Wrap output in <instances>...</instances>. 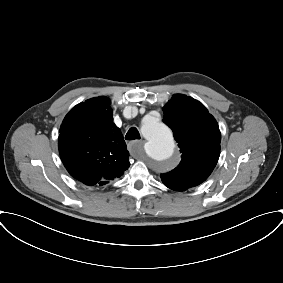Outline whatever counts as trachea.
<instances>
[{"label":"trachea","mask_w":283,"mask_h":283,"mask_svg":"<svg viewBox=\"0 0 283 283\" xmlns=\"http://www.w3.org/2000/svg\"><path fill=\"white\" fill-rule=\"evenodd\" d=\"M126 140H135V139H140V134L138 130L135 127H132L128 130L126 136Z\"/></svg>","instance_id":"trachea-1"}]
</instances>
